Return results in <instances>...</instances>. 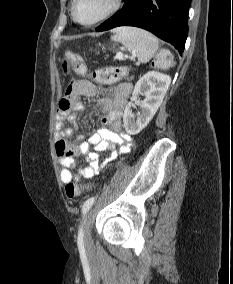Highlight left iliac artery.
Masks as SVG:
<instances>
[{"mask_svg": "<svg viewBox=\"0 0 233 284\" xmlns=\"http://www.w3.org/2000/svg\"><path fill=\"white\" fill-rule=\"evenodd\" d=\"M94 202H95V197H91L84 202L83 207H82L83 216L89 211V209L94 204ZM79 235L83 236L82 228L79 231Z\"/></svg>", "mask_w": 233, "mask_h": 284, "instance_id": "1", "label": "left iliac artery"}]
</instances>
